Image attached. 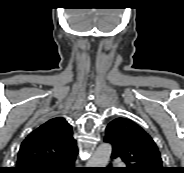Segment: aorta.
<instances>
[{
  "label": "aorta",
  "instance_id": "762f6f07",
  "mask_svg": "<svg viewBox=\"0 0 184 173\" xmlns=\"http://www.w3.org/2000/svg\"><path fill=\"white\" fill-rule=\"evenodd\" d=\"M112 153V146L109 143H102L93 153L88 161L89 167H106Z\"/></svg>",
  "mask_w": 184,
  "mask_h": 173
}]
</instances>
